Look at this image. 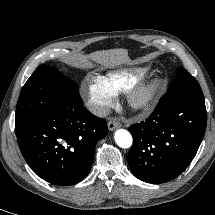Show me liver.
I'll list each match as a JSON object with an SVG mask.
<instances>
[{"label":"liver","mask_w":215,"mask_h":215,"mask_svg":"<svg viewBox=\"0 0 215 215\" xmlns=\"http://www.w3.org/2000/svg\"><path fill=\"white\" fill-rule=\"evenodd\" d=\"M86 58L96 61L104 67H114L128 62V53L125 49H112L93 52ZM83 61L85 60L81 62Z\"/></svg>","instance_id":"obj_1"}]
</instances>
